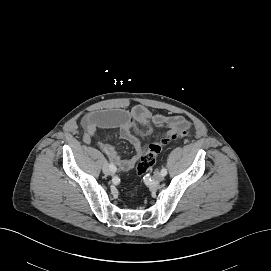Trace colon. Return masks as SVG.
<instances>
[{
	"mask_svg": "<svg viewBox=\"0 0 271 271\" xmlns=\"http://www.w3.org/2000/svg\"><path fill=\"white\" fill-rule=\"evenodd\" d=\"M188 133L187 129L176 132L165 138L164 140L154 141L150 143L147 151L139 158L136 164V172L139 175L146 173L155 163L156 157L161 152L164 144L171 140L183 137Z\"/></svg>",
	"mask_w": 271,
	"mask_h": 271,
	"instance_id": "1",
	"label": "colon"
}]
</instances>
